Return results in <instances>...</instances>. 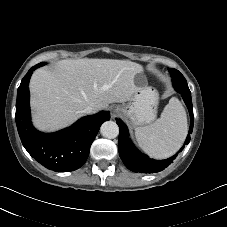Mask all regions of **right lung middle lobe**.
Returning a JSON list of instances; mask_svg holds the SVG:
<instances>
[{
	"instance_id": "right-lung-middle-lobe-1",
	"label": "right lung middle lobe",
	"mask_w": 227,
	"mask_h": 227,
	"mask_svg": "<svg viewBox=\"0 0 227 227\" xmlns=\"http://www.w3.org/2000/svg\"><path fill=\"white\" fill-rule=\"evenodd\" d=\"M44 64H45V63L42 62V63H39L38 66H43Z\"/></svg>"
}]
</instances>
